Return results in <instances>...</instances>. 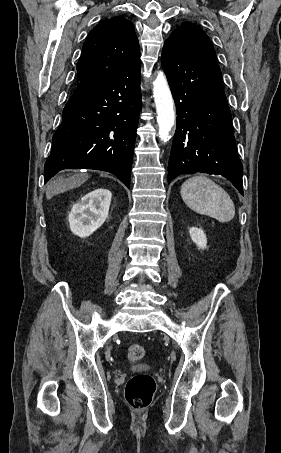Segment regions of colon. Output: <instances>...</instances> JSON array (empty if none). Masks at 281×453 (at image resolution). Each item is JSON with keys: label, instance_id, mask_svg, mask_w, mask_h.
<instances>
[{"label": "colon", "instance_id": "obj_1", "mask_svg": "<svg viewBox=\"0 0 281 453\" xmlns=\"http://www.w3.org/2000/svg\"><path fill=\"white\" fill-rule=\"evenodd\" d=\"M145 349L142 345H132L127 351V359L133 364L142 363ZM155 392V382L150 374L136 373L129 377L124 395L128 406L134 411L149 408Z\"/></svg>", "mask_w": 281, "mask_h": 453}]
</instances>
